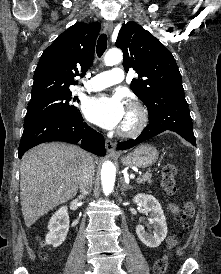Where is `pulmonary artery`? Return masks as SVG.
I'll list each match as a JSON object with an SVG mask.
<instances>
[{
    "instance_id": "1",
    "label": "pulmonary artery",
    "mask_w": 221,
    "mask_h": 274,
    "mask_svg": "<svg viewBox=\"0 0 221 274\" xmlns=\"http://www.w3.org/2000/svg\"><path fill=\"white\" fill-rule=\"evenodd\" d=\"M124 78L122 69L113 68L109 71L99 73L92 77L85 85L84 90L88 92L100 91L112 85L120 83Z\"/></svg>"
}]
</instances>
